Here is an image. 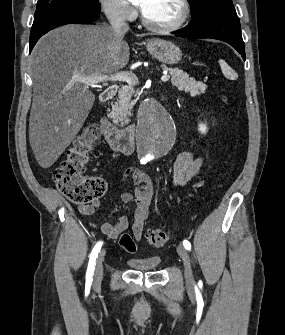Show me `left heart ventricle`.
I'll return each mask as SVG.
<instances>
[{
  "instance_id": "b2bd125f",
  "label": "left heart ventricle",
  "mask_w": 285,
  "mask_h": 335,
  "mask_svg": "<svg viewBox=\"0 0 285 335\" xmlns=\"http://www.w3.org/2000/svg\"><path fill=\"white\" fill-rule=\"evenodd\" d=\"M182 8L176 1H146L144 17L156 27L169 26L182 16Z\"/></svg>"
}]
</instances>
